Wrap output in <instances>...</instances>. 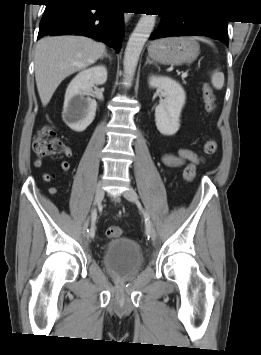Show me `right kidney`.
<instances>
[{
    "mask_svg": "<svg viewBox=\"0 0 261 355\" xmlns=\"http://www.w3.org/2000/svg\"><path fill=\"white\" fill-rule=\"evenodd\" d=\"M106 81L107 69L95 66L81 71L70 82L65 93L62 117L72 130L83 132L92 123L97 103L89 95L94 85H102Z\"/></svg>",
    "mask_w": 261,
    "mask_h": 355,
    "instance_id": "obj_1",
    "label": "right kidney"
}]
</instances>
